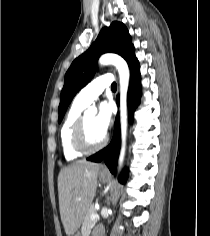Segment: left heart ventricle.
<instances>
[{
	"label": "left heart ventricle",
	"mask_w": 210,
	"mask_h": 236,
	"mask_svg": "<svg viewBox=\"0 0 210 236\" xmlns=\"http://www.w3.org/2000/svg\"><path fill=\"white\" fill-rule=\"evenodd\" d=\"M94 118L95 116L93 114H86L87 137L92 144L100 142L104 135L103 132L96 128Z\"/></svg>",
	"instance_id": "obj_1"
}]
</instances>
